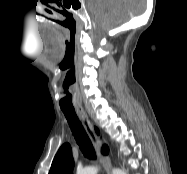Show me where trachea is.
I'll list each match as a JSON object with an SVG mask.
<instances>
[{
	"label": "trachea",
	"mask_w": 187,
	"mask_h": 174,
	"mask_svg": "<svg viewBox=\"0 0 187 174\" xmlns=\"http://www.w3.org/2000/svg\"><path fill=\"white\" fill-rule=\"evenodd\" d=\"M62 111L68 121V124L71 128V131L75 137L77 144L79 145L84 156L89 159H95L96 154L93 148V145L83 128L76 112L74 109H63Z\"/></svg>",
	"instance_id": "obj_1"
}]
</instances>
